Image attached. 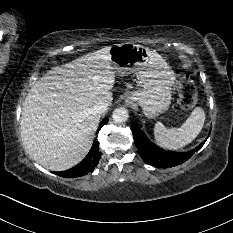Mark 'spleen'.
Wrapping results in <instances>:
<instances>
[{"instance_id":"obj_1","label":"spleen","mask_w":233,"mask_h":233,"mask_svg":"<svg viewBox=\"0 0 233 233\" xmlns=\"http://www.w3.org/2000/svg\"><path fill=\"white\" fill-rule=\"evenodd\" d=\"M204 122L205 112L200 107H196L179 128L167 129L161 122H157L154 127L155 141L166 149H181L198 136Z\"/></svg>"}]
</instances>
